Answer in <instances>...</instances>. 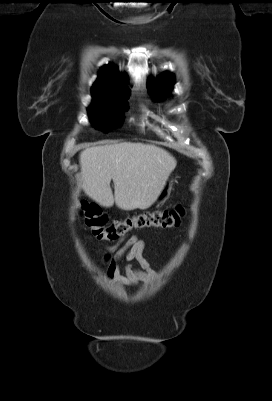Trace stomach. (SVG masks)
<instances>
[{
  "instance_id": "obj_1",
  "label": "stomach",
  "mask_w": 272,
  "mask_h": 401,
  "mask_svg": "<svg viewBox=\"0 0 272 401\" xmlns=\"http://www.w3.org/2000/svg\"><path fill=\"white\" fill-rule=\"evenodd\" d=\"M172 188V181L167 180L163 190L161 191L159 197H158V201L162 202L164 200H166L170 194Z\"/></svg>"
}]
</instances>
